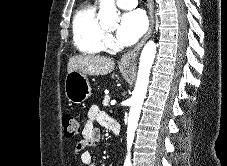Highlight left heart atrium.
<instances>
[{
  "label": "left heart atrium",
  "mask_w": 227,
  "mask_h": 166,
  "mask_svg": "<svg viewBox=\"0 0 227 166\" xmlns=\"http://www.w3.org/2000/svg\"><path fill=\"white\" fill-rule=\"evenodd\" d=\"M148 21L142 10L125 13L116 31L117 40L124 45L135 43L146 31Z\"/></svg>",
  "instance_id": "39dd6f15"
}]
</instances>
